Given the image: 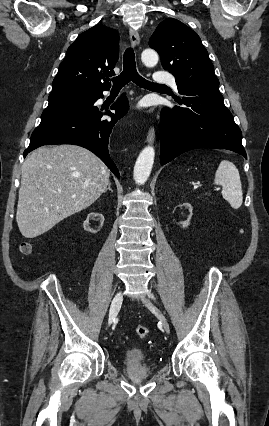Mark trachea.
Segmentation results:
<instances>
[{
    "label": "trachea",
    "mask_w": 269,
    "mask_h": 426,
    "mask_svg": "<svg viewBox=\"0 0 269 426\" xmlns=\"http://www.w3.org/2000/svg\"><path fill=\"white\" fill-rule=\"evenodd\" d=\"M130 81L142 88H160L165 85L150 82L139 75L136 69L135 54L132 48H127L123 57V71L113 78V88L124 87Z\"/></svg>",
    "instance_id": "obj_1"
}]
</instances>
